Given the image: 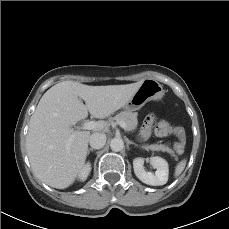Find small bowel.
<instances>
[{
    "label": "small bowel",
    "mask_w": 229,
    "mask_h": 229,
    "mask_svg": "<svg viewBox=\"0 0 229 229\" xmlns=\"http://www.w3.org/2000/svg\"><path fill=\"white\" fill-rule=\"evenodd\" d=\"M148 133H149V126H145L144 128H142V130L140 131V134L142 135V136H147L148 135ZM177 148H178V145H177V143L175 144V150L177 151ZM178 152V151H177ZM179 152H181V151H179Z\"/></svg>",
    "instance_id": "c3829d8e"
}]
</instances>
